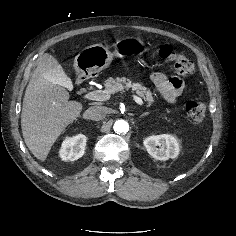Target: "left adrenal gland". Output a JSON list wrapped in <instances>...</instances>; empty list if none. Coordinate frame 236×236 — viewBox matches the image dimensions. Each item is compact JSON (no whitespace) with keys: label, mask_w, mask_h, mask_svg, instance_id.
<instances>
[{"label":"left adrenal gland","mask_w":236,"mask_h":236,"mask_svg":"<svg viewBox=\"0 0 236 236\" xmlns=\"http://www.w3.org/2000/svg\"><path fill=\"white\" fill-rule=\"evenodd\" d=\"M149 113H144L140 116V118H142L143 116H147Z\"/></svg>","instance_id":"left-adrenal-gland-1"}]
</instances>
